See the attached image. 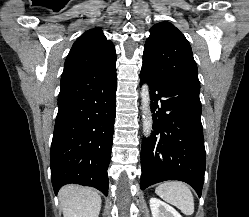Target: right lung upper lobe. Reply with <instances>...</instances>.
<instances>
[{
    "instance_id": "right-lung-upper-lobe-1",
    "label": "right lung upper lobe",
    "mask_w": 249,
    "mask_h": 217,
    "mask_svg": "<svg viewBox=\"0 0 249 217\" xmlns=\"http://www.w3.org/2000/svg\"><path fill=\"white\" fill-rule=\"evenodd\" d=\"M114 58L115 46L106 39L101 28H94L75 41L66 58L64 71L100 67Z\"/></svg>"
}]
</instances>
